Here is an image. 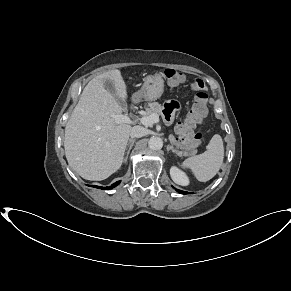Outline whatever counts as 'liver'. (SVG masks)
Wrapping results in <instances>:
<instances>
[{"instance_id": "6515ba94", "label": "liver", "mask_w": 291, "mask_h": 291, "mask_svg": "<svg viewBox=\"0 0 291 291\" xmlns=\"http://www.w3.org/2000/svg\"><path fill=\"white\" fill-rule=\"evenodd\" d=\"M106 81L113 83L117 97L127 99L120 70L99 74L85 86L65 127L67 161L87 180H104L121 167L132 129L130 124H118L112 117L120 115L122 108L106 90Z\"/></svg>"}]
</instances>
